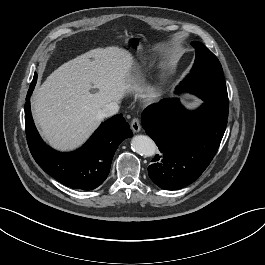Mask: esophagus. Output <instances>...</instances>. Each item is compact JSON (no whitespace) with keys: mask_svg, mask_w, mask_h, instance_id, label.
I'll return each mask as SVG.
<instances>
[{"mask_svg":"<svg viewBox=\"0 0 265 265\" xmlns=\"http://www.w3.org/2000/svg\"><path fill=\"white\" fill-rule=\"evenodd\" d=\"M131 128L134 133H138L141 130L140 120L138 118H134L131 121Z\"/></svg>","mask_w":265,"mask_h":265,"instance_id":"34e87169","label":"esophagus"}]
</instances>
